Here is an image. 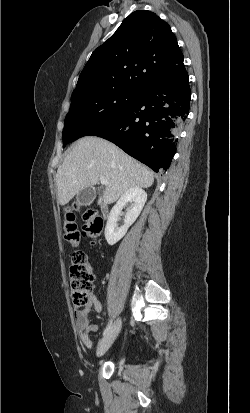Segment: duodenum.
<instances>
[{
    "mask_svg": "<svg viewBox=\"0 0 250 413\" xmlns=\"http://www.w3.org/2000/svg\"><path fill=\"white\" fill-rule=\"evenodd\" d=\"M106 211H107L106 207H102V208H101V212H102V214H105V213H106Z\"/></svg>",
    "mask_w": 250,
    "mask_h": 413,
    "instance_id": "duodenum-1",
    "label": "duodenum"
}]
</instances>
